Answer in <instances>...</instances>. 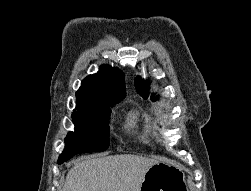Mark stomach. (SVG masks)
<instances>
[{"instance_id":"0dacf381","label":"stomach","mask_w":251,"mask_h":191,"mask_svg":"<svg viewBox=\"0 0 251 191\" xmlns=\"http://www.w3.org/2000/svg\"><path fill=\"white\" fill-rule=\"evenodd\" d=\"M140 191H187L184 171L158 161L145 173Z\"/></svg>"}]
</instances>
